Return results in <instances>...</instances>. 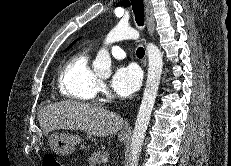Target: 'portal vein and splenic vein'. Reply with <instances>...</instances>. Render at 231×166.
Returning <instances> with one entry per match:
<instances>
[{
    "label": "portal vein and splenic vein",
    "instance_id": "portal-vein-and-splenic-vein-1",
    "mask_svg": "<svg viewBox=\"0 0 231 166\" xmlns=\"http://www.w3.org/2000/svg\"><path fill=\"white\" fill-rule=\"evenodd\" d=\"M102 162H103L104 164L107 163V159H106V158L103 159Z\"/></svg>",
    "mask_w": 231,
    "mask_h": 166
}]
</instances>
